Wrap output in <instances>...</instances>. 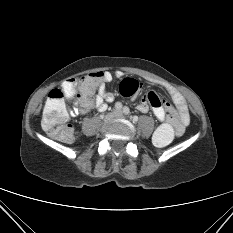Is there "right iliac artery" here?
Listing matches in <instances>:
<instances>
[{
  "label": "right iliac artery",
  "mask_w": 233,
  "mask_h": 233,
  "mask_svg": "<svg viewBox=\"0 0 233 233\" xmlns=\"http://www.w3.org/2000/svg\"><path fill=\"white\" fill-rule=\"evenodd\" d=\"M115 107H116L117 109H121V108H122V104H121V103H116Z\"/></svg>",
  "instance_id": "82829eb1"
}]
</instances>
